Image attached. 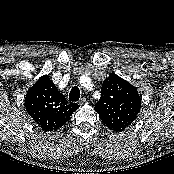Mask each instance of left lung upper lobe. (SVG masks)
<instances>
[{
	"instance_id": "1",
	"label": "left lung upper lobe",
	"mask_w": 174,
	"mask_h": 174,
	"mask_svg": "<svg viewBox=\"0 0 174 174\" xmlns=\"http://www.w3.org/2000/svg\"><path fill=\"white\" fill-rule=\"evenodd\" d=\"M140 108L141 98L133 85L114 74L104 80L95 111L109 129L125 130L136 119Z\"/></svg>"
}]
</instances>
